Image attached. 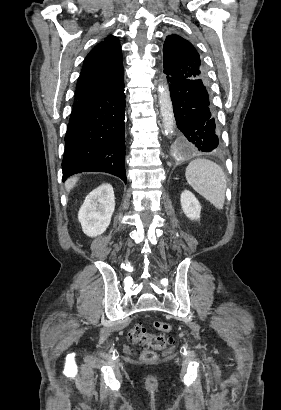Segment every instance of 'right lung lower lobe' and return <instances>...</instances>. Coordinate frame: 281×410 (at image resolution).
Returning <instances> with one entry per match:
<instances>
[{
    "label": "right lung lower lobe",
    "instance_id": "1",
    "mask_svg": "<svg viewBox=\"0 0 281 410\" xmlns=\"http://www.w3.org/2000/svg\"><path fill=\"white\" fill-rule=\"evenodd\" d=\"M124 119V82L74 102L65 136L63 181L76 173L101 171L126 183Z\"/></svg>",
    "mask_w": 281,
    "mask_h": 410
}]
</instances>
